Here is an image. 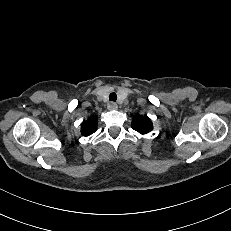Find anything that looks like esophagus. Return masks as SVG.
Wrapping results in <instances>:
<instances>
[{"instance_id": "esophagus-1", "label": "esophagus", "mask_w": 231, "mask_h": 231, "mask_svg": "<svg viewBox=\"0 0 231 231\" xmlns=\"http://www.w3.org/2000/svg\"><path fill=\"white\" fill-rule=\"evenodd\" d=\"M118 106L116 103L114 102H111L109 105H108V109L109 110H117Z\"/></svg>"}]
</instances>
